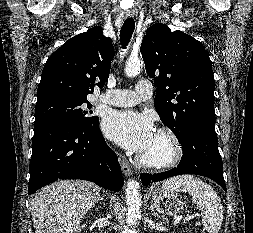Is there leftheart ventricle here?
I'll return each instance as SVG.
<instances>
[{"label":"left heart ventricle","instance_id":"obj_1","mask_svg":"<svg viewBox=\"0 0 253 233\" xmlns=\"http://www.w3.org/2000/svg\"><path fill=\"white\" fill-rule=\"evenodd\" d=\"M167 152H168L167 142L163 138L155 134L151 144L144 152H142V154L151 157H162L166 155Z\"/></svg>","mask_w":253,"mask_h":233}]
</instances>
